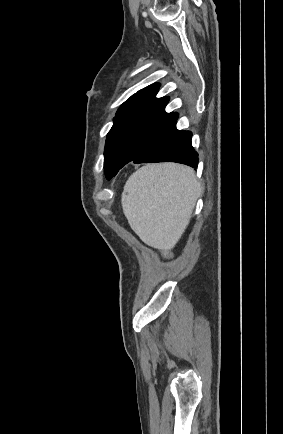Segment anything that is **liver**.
I'll list each match as a JSON object with an SVG mask.
<instances>
[{
	"instance_id": "1",
	"label": "liver",
	"mask_w": 283,
	"mask_h": 434,
	"mask_svg": "<svg viewBox=\"0 0 283 434\" xmlns=\"http://www.w3.org/2000/svg\"><path fill=\"white\" fill-rule=\"evenodd\" d=\"M200 194L192 168L148 164L128 178L121 203L131 229L145 244L170 251L185 232Z\"/></svg>"
}]
</instances>
